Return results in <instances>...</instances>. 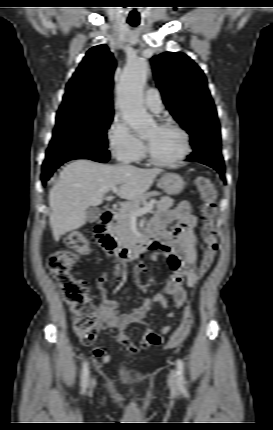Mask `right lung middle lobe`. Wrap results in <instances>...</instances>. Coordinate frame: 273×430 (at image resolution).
<instances>
[{"label": "right lung middle lobe", "instance_id": "1", "mask_svg": "<svg viewBox=\"0 0 273 430\" xmlns=\"http://www.w3.org/2000/svg\"><path fill=\"white\" fill-rule=\"evenodd\" d=\"M112 119L113 111L59 109L43 167L81 156L109 153L106 130Z\"/></svg>", "mask_w": 273, "mask_h": 430}]
</instances>
